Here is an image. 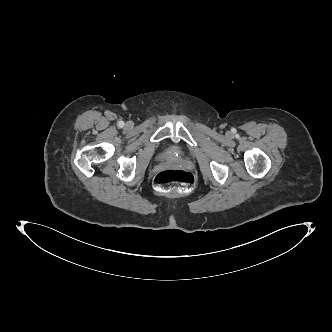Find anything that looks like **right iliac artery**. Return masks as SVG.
Masks as SVG:
<instances>
[{"mask_svg": "<svg viewBox=\"0 0 332 332\" xmlns=\"http://www.w3.org/2000/svg\"><path fill=\"white\" fill-rule=\"evenodd\" d=\"M118 125H119V127H123L124 126V122L123 121H119Z\"/></svg>", "mask_w": 332, "mask_h": 332, "instance_id": "right-iliac-artery-1", "label": "right iliac artery"}]
</instances>
